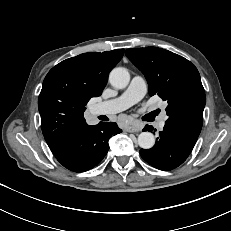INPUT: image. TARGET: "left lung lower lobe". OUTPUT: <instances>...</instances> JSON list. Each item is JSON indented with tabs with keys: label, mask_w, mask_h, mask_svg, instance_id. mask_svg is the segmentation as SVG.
Listing matches in <instances>:
<instances>
[{
	"label": "left lung lower lobe",
	"mask_w": 231,
	"mask_h": 231,
	"mask_svg": "<svg viewBox=\"0 0 231 231\" xmlns=\"http://www.w3.org/2000/svg\"><path fill=\"white\" fill-rule=\"evenodd\" d=\"M143 131H153L146 125ZM198 136L189 131L165 122L164 129L159 132L155 145L151 149H141V157L153 167L160 170H172L181 165L191 153Z\"/></svg>",
	"instance_id": "left-lung-lower-lobe-1"
}]
</instances>
